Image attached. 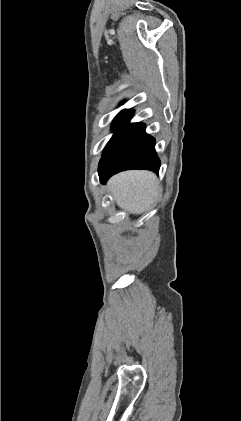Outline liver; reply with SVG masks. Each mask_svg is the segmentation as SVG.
Returning a JSON list of instances; mask_svg holds the SVG:
<instances>
[{
  "label": "liver",
  "mask_w": 241,
  "mask_h": 421,
  "mask_svg": "<svg viewBox=\"0 0 241 421\" xmlns=\"http://www.w3.org/2000/svg\"><path fill=\"white\" fill-rule=\"evenodd\" d=\"M108 189L117 205L132 213L147 210L157 196V177L150 171H126L113 176Z\"/></svg>",
  "instance_id": "6515ba94"
}]
</instances>
